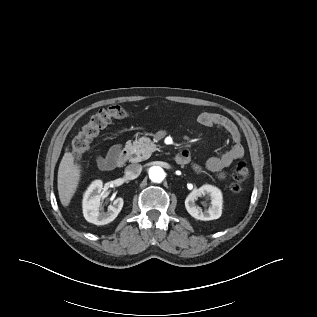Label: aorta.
<instances>
[{
	"label": "aorta",
	"mask_w": 317,
	"mask_h": 317,
	"mask_svg": "<svg viewBox=\"0 0 317 317\" xmlns=\"http://www.w3.org/2000/svg\"><path fill=\"white\" fill-rule=\"evenodd\" d=\"M149 178L152 182L161 183L165 178V172L160 166H152L149 170Z\"/></svg>",
	"instance_id": "1"
}]
</instances>
